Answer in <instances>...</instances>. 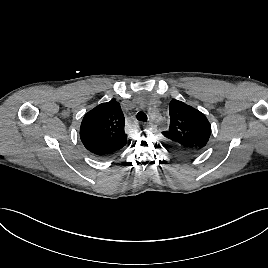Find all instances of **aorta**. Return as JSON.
I'll return each mask as SVG.
<instances>
[{
    "label": "aorta",
    "instance_id": "obj_1",
    "mask_svg": "<svg viewBox=\"0 0 268 268\" xmlns=\"http://www.w3.org/2000/svg\"><path fill=\"white\" fill-rule=\"evenodd\" d=\"M152 119H153V121H157V114H154V115H152Z\"/></svg>",
    "mask_w": 268,
    "mask_h": 268
}]
</instances>
